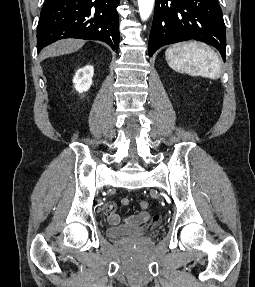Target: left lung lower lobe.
I'll return each instance as SVG.
<instances>
[{"label":"left lung lower lobe","mask_w":255,"mask_h":287,"mask_svg":"<svg viewBox=\"0 0 255 287\" xmlns=\"http://www.w3.org/2000/svg\"><path fill=\"white\" fill-rule=\"evenodd\" d=\"M225 30L218 0H156L148 52L195 39L217 48L225 61Z\"/></svg>","instance_id":"1"}]
</instances>
